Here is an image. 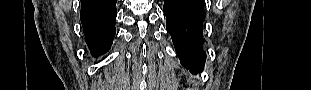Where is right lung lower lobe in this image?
I'll return each mask as SVG.
<instances>
[{"label": "right lung lower lobe", "instance_id": "98d812e1", "mask_svg": "<svg viewBox=\"0 0 311 90\" xmlns=\"http://www.w3.org/2000/svg\"><path fill=\"white\" fill-rule=\"evenodd\" d=\"M117 0H81V23L91 54L106 53L115 36Z\"/></svg>", "mask_w": 311, "mask_h": 90}]
</instances>
